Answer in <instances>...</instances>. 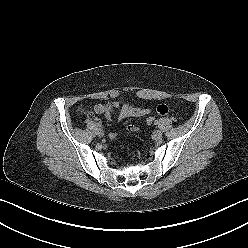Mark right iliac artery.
Returning a JSON list of instances; mask_svg holds the SVG:
<instances>
[{"label": "right iliac artery", "instance_id": "right-iliac-artery-1", "mask_svg": "<svg viewBox=\"0 0 248 248\" xmlns=\"http://www.w3.org/2000/svg\"><path fill=\"white\" fill-rule=\"evenodd\" d=\"M97 126H98L99 128H101V124H97Z\"/></svg>", "mask_w": 248, "mask_h": 248}]
</instances>
